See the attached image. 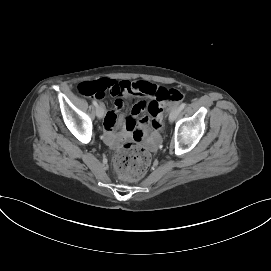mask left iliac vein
Wrapping results in <instances>:
<instances>
[{
  "mask_svg": "<svg viewBox=\"0 0 271 271\" xmlns=\"http://www.w3.org/2000/svg\"><path fill=\"white\" fill-rule=\"evenodd\" d=\"M180 112H181L180 107L173 108L171 110V112H170V115H169V121L173 122L178 117V115L180 114Z\"/></svg>",
  "mask_w": 271,
  "mask_h": 271,
  "instance_id": "1",
  "label": "left iliac vein"
}]
</instances>
